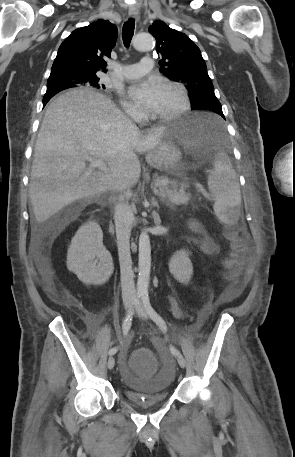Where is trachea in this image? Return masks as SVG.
I'll return each mask as SVG.
<instances>
[{
    "label": "trachea",
    "mask_w": 295,
    "mask_h": 457,
    "mask_svg": "<svg viewBox=\"0 0 295 457\" xmlns=\"http://www.w3.org/2000/svg\"><path fill=\"white\" fill-rule=\"evenodd\" d=\"M134 29H135V19L130 18L128 21H126L123 25L122 29V38H123V43L126 48L130 46L133 34H134Z\"/></svg>",
    "instance_id": "1"
}]
</instances>
